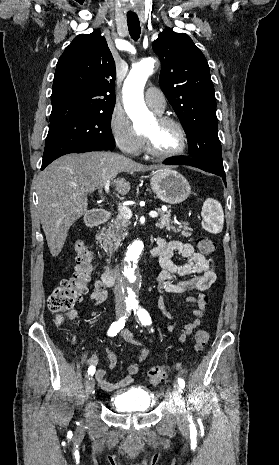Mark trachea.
Segmentation results:
<instances>
[{
    "instance_id": "3493384b",
    "label": "trachea",
    "mask_w": 279,
    "mask_h": 465,
    "mask_svg": "<svg viewBox=\"0 0 279 465\" xmlns=\"http://www.w3.org/2000/svg\"><path fill=\"white\" fill-rule=\"evenodd\" d=\"M127 23L129 33L133 40H138L140 37V22L137 15H127Z\"/></svg>"
}]
</instances>
